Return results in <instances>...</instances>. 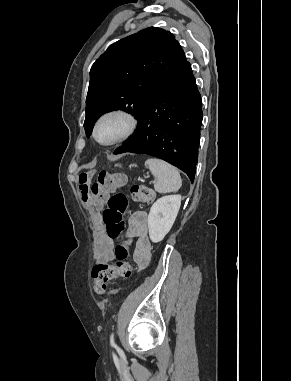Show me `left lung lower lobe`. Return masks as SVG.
I'll use <instances>...</instances> for the list:
<instances>
[{"mask_svg":"<svg viewBox=\"0 0 291 381\" xmlns=\"http://www.w3.org/2000/svg\"><path fill=\"white\" fill-rule=\"evenodd\" d=\"M202 101L185 62L148 100L136 132L114 154L142 153L163 159L194 180L202 124Z\"/></svg>","mask_w":291,"mask_h":381,"instance_id":"obj_1","label":"left lung lower lobe"}]
</instances>
